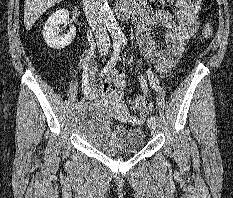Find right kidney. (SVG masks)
I'll list each match as a JSON object with an SVG mask.
<instances>
[{
	"instance_id": "right-kidney-1",
	"label": "right kidney",
	"mask_w": 233,
	"mask_h": 198,
	"mask_svg": "<svg viewBox=\"0 0 233 198\" xmlns=\"http://www.w3.org/2000/svg\"><path fill=\"white\" fill-rule=\"evenodd\" d=\"M68 20L69 12L66 9L56 11L47 19L43 29V37L49 47L63 49L75 38L76 28L74 26H70L67 34L59 35L60 24H67Z\"/></svg>"
}]
</instances>
